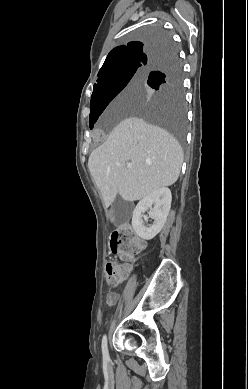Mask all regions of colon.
Listing matches in <instances>:
<instances>
[{
	"label": "colon",
	"instance_id": "5ec220e1",
	"mask_svg": "<svg viewBox=\"0 0 248 389\" xmlns=\"http://www.w3.org/2000/svg\"><path fill=\"white\" fill-rule=\"evenodd\" d=\"M143 247L144 243L129 225L122 226L110 239V252L115 256L121 255L122 261H131L132 255L141 251ZM126 273L127 267L124 265L115 262L106 264V278L110 286L119 285Z\"/></svg>",
	"mask_w": 248,
	"mask_h": 389
}]
</instances>
